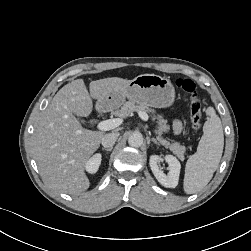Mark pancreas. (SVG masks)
Wrapping results in <instances>:
<instances>
[{
	"mask_svg": "<svg viewBox=\"0 0 251 251\" xmlns=\"http://www.w3.org/2000/svg\"><path fill=\"white\" fill-rule=\"evenodd\" d=\"M148 112L151 113L152 116V120L154 121L155 119H157L158 121V127L157 130H155V133L157 134V140L166 148H169L170 151L173 152V154H175L179 159L184 160V153H185V146L181 145L179 142H169L166 139H164L163 137H161V135L163 134V132H168L169 131V126L166 124V120L163 119V116L161 115H155V110L150 109L147 106L144 105H136L134 102L128 101L125 102L123 104V106L115 111V115L122 117V118H126L127 116H130L133 112Z\"/></svg>",
	"mask_w": 251,
	"mask_h": 251,
	"instance_id": "1",
	"label": "pancreas"
}]
</instances>
